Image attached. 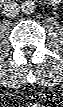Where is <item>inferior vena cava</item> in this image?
<instances>
[{
    "mask_svg": "<svg viewBox=\"0 0 63 107\" xmlns=\"http://www.w3.org/2000/svg\"><path fill=\"white\" fill-rule=\"evenodd\" d=\"M19 12L20 6L14 1L8 2L4 7V14L7 17H15L19 14Z\"/></svg>",
    "mask_w": 63,
    "mask_h": 107,
    "instance_id": "602c4592",
    "label": "inferior vena cava"
}]
</instances>
